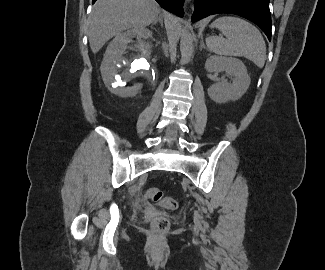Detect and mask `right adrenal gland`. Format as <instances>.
Returning <instances> with one entry per match:
<instances>
[{
    "label": "right adrenal gland",
    "instance_id": "2a0ac1e0",
    "mask_svg": "<svg viewBox=\"0 0 325 270\" xmlns=\"http://www.w3.org/2000/svg\"><path fill=\"white\" fill-rule=\"evenodd\" d=\"M157 22L161 24V27H163V19L161 15H159V17L152 23V25H156Z\"/></svg>",
    "mask_w": 325,
    "mask_h": 270
}]
</instances>
